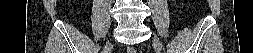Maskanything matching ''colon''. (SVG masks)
<instances>
[{
	"instance_id": "1",
	"label": "colon",
	"mask_w": 253,
	"mask_h": 53,
	"mask_svg": "<svg viewBox=\"0 0 253 53\" xmlns=\"http://www.w3.org/2000/svg\"><path fill=\"white\" fill-rule=\"evenodd\" d=\"M128 52H129V53H133V52H135V51H134L133 48H129V49H128Z\"/></svg>"
}]
</instances>
